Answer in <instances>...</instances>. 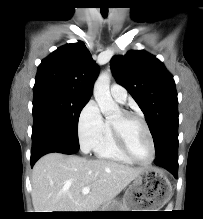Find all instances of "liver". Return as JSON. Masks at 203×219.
I'll return each mask as SVG.
<instances>
[{
    "label": "liver",
    "instance_id": "liver-1",
    "mask_svg": "<svg viewBox=\"0 0 203 219\" xmlns=\"http://www.w3.org/2000/svg\"><path fill=\"white\" fill-rule=\"evenodd\" d=\"M144 168L114 161L90 160L50 153L32 170V203L35 212H91L116 197ZM90 187L88 194L82 189Z\"/></svg>",
    "mask_w": 203,
    "mask_h": 219
}]
</instances>
